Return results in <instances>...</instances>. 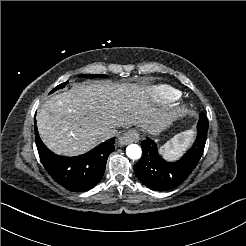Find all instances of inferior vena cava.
<instances>
[{"mask_svg":"<svg viewBox=\"0 0 246 246\" xmlns=\"http://www.w3.org/2000/svg\"><path fill=\"white\" fill-rule=\"evenodd\" d=\"M117 132H118L117 129L110 130V132L108 134V138L115 136L117 134Z\"/></svg>","mask_w":246,"mask_h":246,"instance_id":"inferior-vena-cava-1","label":"inferior vena cava"}]
</instances>
